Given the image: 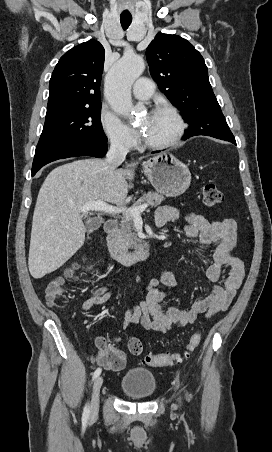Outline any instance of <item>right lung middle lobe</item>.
<instances>
[{"mask_svg": "<svg viewBox=\"0 0 272 452\" xmlns=\"http://www.w3.org/2000/svg\"><path fill=\"white\" fill-rule=\"evenodd\" d=\"M101 105L73 108L46 114L38 145L84 141L93 144L107 142L101 120ZM37 145V146H38Z\"/></svg>", "mask_w": 272, "mask_h": 452, "instance_id": "obj_1", "label": "right lung middle lobe"}]
</instances>
